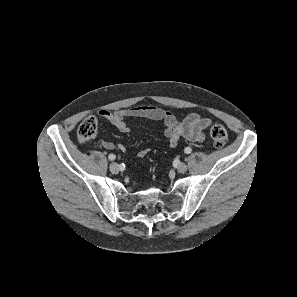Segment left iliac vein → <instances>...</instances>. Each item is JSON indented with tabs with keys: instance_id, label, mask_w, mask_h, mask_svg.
Wrapping results in <instances>:
<instances>
[{
	"instance_id": "1",
	"label": "left iliac vein",
	"mask_w": 297,
	"mask_h": 297,
	"mask_svg": "<svg viewBox=\"0 0 297 297\" xmlns=\"http://www.w3.org/2000/svg\"><path fill=\"white\" fill-rule=\"evenodd\" d=\"M177 170L180 173H185L187 171V165L184 162H181L177 165Z\"/></svg>"
}]
</instances>
